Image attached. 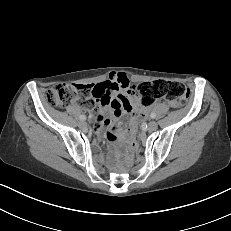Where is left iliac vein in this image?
I'll return each instance as SVG.
<instances>
[{"mask_svg": "<svg viewBox=\"0 0 231 231\" xmlns=\"http://www.w3.org/2000/svg\"><path fill=\"white\" fill-rule=\"evenodd\" d=\"M157 128H158L157 122H155V121L149 122V124H148V129H149L150 131H155Z\"/></svg>", "mask_w": 231, "mask_h": 231, "instance_id": "left-iliac-vein-1", "label": "left iliac vein"}]
</instances>
